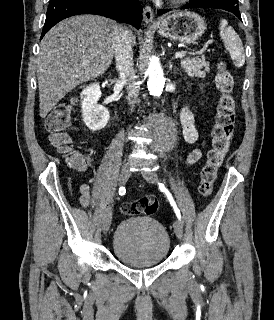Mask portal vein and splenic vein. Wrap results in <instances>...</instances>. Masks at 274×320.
I'll return each instance as SVG.
<instances>
[{"mask_svg": "<svg viewBox=\"0 0 274 320\" xmlns=\"http://www.w3.org/2000/svg\"><path fill=\"white\" fill-rule=\"evenodd\" d=\"M187 52H176L175 58H183V56H186Z\"/></svg>", "mask_w": 274, "mask_h": 320, "instance_id": "portal-vein-and-splenic-vein-1", "label": "portal vein and splenic vein"}]
</instances>
